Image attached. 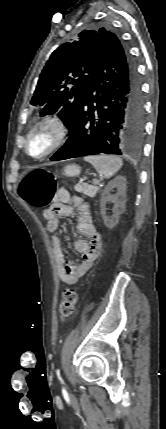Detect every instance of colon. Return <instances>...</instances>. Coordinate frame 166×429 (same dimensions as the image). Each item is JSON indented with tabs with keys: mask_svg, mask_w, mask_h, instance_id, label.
Wrapping results in <instances>:
<instances>
[{
	"mask_svg": "<svg viewBox=\"0 0 166 429\" xmlns=\"http://www.w3.org/2000/svg\"><path fill=\"white\" fill-rule=\"evenodd\" d=\"M56 180L53 173L43 168H35L27 172L19 185L20 196L30 205L35 207L47 206L60 193L69 196L67 190H59L57 193ZM78 292L73 288L63 290L59 312L62 317L71 316L78 302Z\"/></svg>",
	"mask_w": 166,
	"mask_h": 429,
	"instance_id": "obj_1",
	"label": "colon"
}]
</instances>
